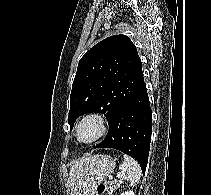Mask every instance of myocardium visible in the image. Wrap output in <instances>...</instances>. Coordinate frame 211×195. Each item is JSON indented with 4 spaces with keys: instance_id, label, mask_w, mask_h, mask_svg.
Instances as JSON below:
<instances>
[{
    "instance_id": "f54148a6",
    "label": "myocardium",
    "mask_w": 211,
    "mask_h": 195,
    "mask_svg": "<svg viewBox=\"0 0 211 195\" xmlns=\"http://www.w3.org/2000/svg\"><path fill=\"white\" fill-rule=\"evenodd\" d=\"M87 121H95L98 125V132L92 139L83 140L80 137V130H81V127L83 126V124L86 123ZM108 129H109L108 119L103 114H101L99 112H91V113L84 115L78 122L77 127H76V137H77V140L81 143L92 144V143L100 140L102 137H104L106 135V133L108 132Z\"/></svg>"
}]
</instances>
